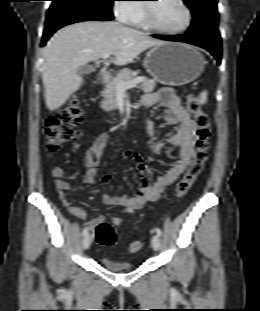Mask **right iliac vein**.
I'll return each mask as SVG.
<instances>
[{
    "label": "right iliac vein",
    "instance_id": "obj_1",
    "mask_svg": "<svg viewBox=\"0 0 260 311\" xmlns=\"http://www.w3.org/2000/svg\"><path fill=\"white\" fill-rule=\"evenodd\" d=\"M92 237L90 234H87L83 239V247L84 249H88L91 245Z\"/></svg>",
    "mask_w": 260,
    "mask_h": 311
}]
</instances>
